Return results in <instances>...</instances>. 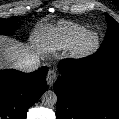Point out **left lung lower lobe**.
I'll return each mask as SVG.
<instances>
[{"label": "left lung lower lobe", "mask_w": 119, "mask_h": 119, "mask_svg": "<svg viewBox=\"0 0 119 119\" xmlns=\"http://www.w3.org/2000/svg\"><path fill=\"white\" fill-rule=\"evenodd\" d=\"M58 70L57 119H119V53L63 59Z\"/></svg>", "instance_id": "obj_1"}]
</instances>
